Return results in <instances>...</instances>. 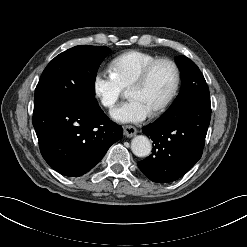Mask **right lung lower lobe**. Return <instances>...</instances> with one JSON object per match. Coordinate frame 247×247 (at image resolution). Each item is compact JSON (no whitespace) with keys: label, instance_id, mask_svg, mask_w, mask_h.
<instances>
[{"label":"right lung lower lobe","instance_id":"obj_1","mask_svg":"<svg viewBox=\"0 0 247 247\" xmlns=\"http://www.w3.org/2000/svg\"><path fill=\"white\" fill-rule=\"evenodd\" d=\"M33 126L45 161L68 177L88 172L123 136L100 107L86 109L66 99L34 108Z\"/></svg>","mask_w":247,"mask_h":247}]
</instances>
